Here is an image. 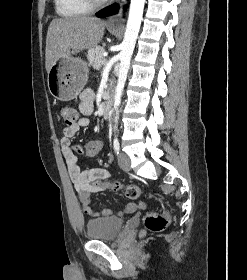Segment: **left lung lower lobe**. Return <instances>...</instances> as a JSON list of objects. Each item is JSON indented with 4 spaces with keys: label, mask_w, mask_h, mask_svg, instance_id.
I'll use <instances>...</instances> for the list:
<instances>
[{
    "label": "left lung lower lobe",
    "mask_w": 247,
    "mask_h": 280,
    "mask_svg": "<svg viewBox=\"0 0 247 280\" xmlns=\"http://www.w3.org/2000/svg\"><path fill=\"white\" fill-rule=\"evenodd\" d=\"M119 6L118 5H114L111 6L105 10H103L102 12L98 13L97 16L98 17H107L113 14H116L118 12Z\"/></svg>",
    "instance_id": "1"
}]
</instances>
